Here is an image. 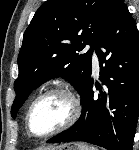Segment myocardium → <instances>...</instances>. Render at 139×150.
<instances>
[{
  "label": "myocardium",
  "instance_id": "obj_1",
  "mask_svg": "<svg viewBox=\"0 0 139 150\" xmlns=\"http://www.w3.org/2000/svg\"><path fill=\"white\" fill-rule=\"evenodd\" d=\"M50 94H62L64 96H66L70 102L71 105V114L69 116V118L59 127L51 130L48 133L45 134H35L32 129H31V115L32 112L36 106V104L45 96H48ZM82 112V104L80 99L78 98V96L71 91L70 89L66 88V87H61V86H57V87H51L48 88L46 90H44L43 92H41L39 95L36 96V98L31 102L27 113H26V117H25V126H26V130L28 132V134L36 139H45L48 138L50 136L56 135L58 133H61L67 129H69L70 127H72L79 119L80 115Z\"/></svg>",
  "mask_w": 139,
  "mask_h": 150
}]
</instances>
